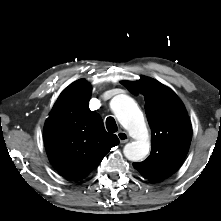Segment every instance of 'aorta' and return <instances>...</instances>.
I'll return each instance as SVG.
<instances>
[{
  "mask_svg": "<svg viewBox=\"0 0 221 221\" xmlns=\"http://www.w3.org/2000/svg\"><path fill=\"white\" fill-rule=\"evenodd\" d=\"M111 108L119 123L135 139L125 145V157L134 162L142 160L150 150L148 130L142 111L131 97L123 94L112 99Z\"/></svg>",
  "mask_w": 221,
  "mask_h": 221,
  "instance_id": "aorta-1",
  "label": "aorta"
}]
</instances>
